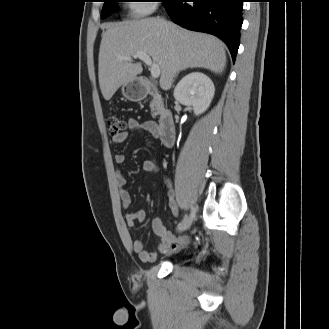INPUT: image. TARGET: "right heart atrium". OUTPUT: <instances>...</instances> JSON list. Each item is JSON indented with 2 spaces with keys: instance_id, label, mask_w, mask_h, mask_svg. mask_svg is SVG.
<instances>
[{
  "instance_id": "d8ad5b80",
  "label": "right heart atrium",
  "mask_w": 329,
  "mask_h": 329,
  "mask_svg": "<svg viewBox=\"0 0 329 329\" xmlns=\"http://www.w3.org/2000/svg\"><path fill=\"white\" fill-rule=\"evenodd\" d=\"M153 0H132L129 4L130 11L134 16H143L155 9Z\"/></svg>"
}]
</instances>
